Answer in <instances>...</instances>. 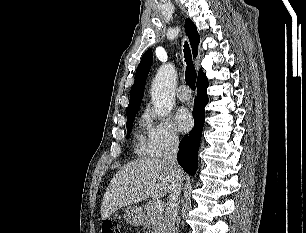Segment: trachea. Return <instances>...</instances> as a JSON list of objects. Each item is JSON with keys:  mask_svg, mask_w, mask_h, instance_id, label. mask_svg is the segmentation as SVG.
Here are the masks:
<instances>
[{"mask_svg": "<svg viewBox=\"0 0 306 233\" xmlns=\"http://www.w3.org/2000/svg\"><path fill=\"white\" fill-rule=\"evenodd\" d=\"M184 57L185 61L187 63L186 71H185V80L186 83L189 85V87L193 90H195V82H196V70L192 62V56H191V51L188 46V43L186 42L184 45Z\"/></svg>", "mask_w": 306, "mask_h": 233, "instance_id": "1", "label": "trachea"}]
</instances>
